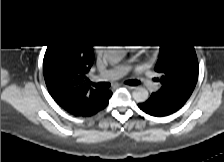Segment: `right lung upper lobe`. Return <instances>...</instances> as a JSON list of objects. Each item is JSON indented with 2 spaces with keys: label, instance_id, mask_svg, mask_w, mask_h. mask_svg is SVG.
I'll list each match as a JSON object with an SVG mask.
<instances>
[{
  "label": "right lung upper lobe",
  "instance_id": "obj_1",
  "mask_svg": "<svg viewBox=\"0 0 224 162\" xmlns=\"http://www.w3.org/2000/svg\"><path fill=\"white\" fill-rule=\"evenodd\" d=\"M93 44L72 35L46 52L44 79L49 93L75 116H91L105 108L112 92L93 89L86 74L94 62Z\"/></svg>",
  "mask_w": 224,
  "mask_h": 162
}]
</instances>
